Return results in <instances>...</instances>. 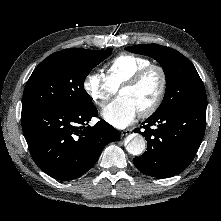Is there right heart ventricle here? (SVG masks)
<instances>
[{
  "instance_id": "right-heart-ventricle-1",
  "label": "right heart ventricle",
  "mask_w": 221,
  "mask_h": 221,
  "mask_svg": "<svg viewBox=\"0 0 221 221\" xmlns=\"http://www.w3.org/2000/svg\"><path fill=\"white\" fill-rule=\"evenodd\" d=\"M151 64L148 58L133 54H120L105 65V75L118 89L120 85L141 68Z\"/></svg>"
}]
</instances>
